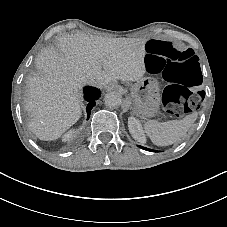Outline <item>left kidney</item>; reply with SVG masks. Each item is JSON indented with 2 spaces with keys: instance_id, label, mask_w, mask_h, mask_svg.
<instances>
[{
  "instance_id": "5707ae66",
  "label": "left kidney",
  "mask_w": 227,
  "mask_h": 227,
  "mask_svg": "<svg viewBox=\"0 0 227 227\" xmlns=\"http://www.w3.org/2000/svg\"><path fill=\"white\" fill-rule=\"evenodd\" d=\"M128 128L129 132L131 133L132 137L140 142V143H146V137L142 128V125L138 119L135 117H129L128 118Z\"/></svg>"
}]
</instances>
